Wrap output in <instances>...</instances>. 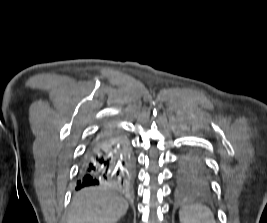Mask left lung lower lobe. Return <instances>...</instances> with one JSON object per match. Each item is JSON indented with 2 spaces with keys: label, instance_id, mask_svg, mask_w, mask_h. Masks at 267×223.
Returning a JSON list of instances; mask_svg holds the SVG:
<instances>
[{
  "label": "left lung lower lobe",
  "instance_id": "obj_1",
  "mask_svg": "<svg viewBox=\"0 0 267 223\" xmlns=\"http://www.w3.org/2000/svg\"><path fill=\"white\" fill-rule=\"evenodd\" d=\"M210 175V171H177V176H179L182 181H188V184L185 185L186 189H195V181H198V183H206V178H203V176Z\"/></svg>",
  "mask_w": 267,
  "mask_h": 223
}]
</instances>
